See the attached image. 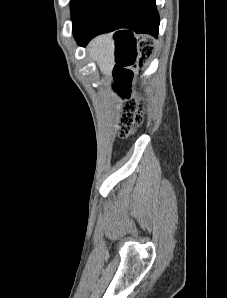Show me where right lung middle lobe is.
Returning a JSON list of instances; mask_svg holds the SVG:
<instances>
[{
	"mask_svg": "<svg viewBox=\"0 0 227 298\" xmlns=\"http://www.w3.org/2000/svg\"><path fill=\"white\" fill-rule=\"evenodd\" d=\"M109 1L110 0H72L71 15L73 33L81 31Z\"/></svg>",
	"mask_w": 227,
	"mask_h": 298,
	"instance_id": "right-lung-middle-lobe-1",
	"label": "right lung middle lobe"
}]
</instances>
